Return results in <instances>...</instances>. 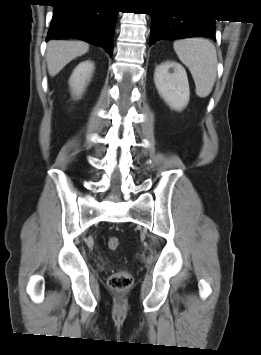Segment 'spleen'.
Returning a JSON list of instances; mask_svg holds the SVG:
<instances>
[{
    "label": "spleen",
    "mask_w": 261,
    "mask_h": 355,
    "mask_svg": "<svg viewBox=\"0 0 261 355\" xmlns=\"http://www.w3.org/2000/svg\"><path fill=\"white\" fill-rule=\"evenodd\" d=\"M174 50L180 61L190 70L198 97H207L217 75L215 46L207 39L190 38L175 41Z\"/></svg>",
    "instance_id": "1"
}]
</instances>
